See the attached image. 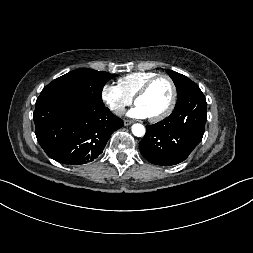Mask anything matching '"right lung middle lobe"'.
<instances>
[{
	"label": "right lung middle lobe",
	"mask_w": 253,
	"mask_h": 253,
	"mask_svg": "<svg viewBox=\"0 0 253 253\" xmlns=\"http://www.w3.org/2000/svg\"><path fill=\"white\" fill-rule=\"evenodd\" d=\"M116 76L107 72L81 68L53 80L43 88L41 94L59 95L104 105L101 97L102 89L106 82Z\"/></svg>",
	"instance_id": "1"
}]
</instances>
